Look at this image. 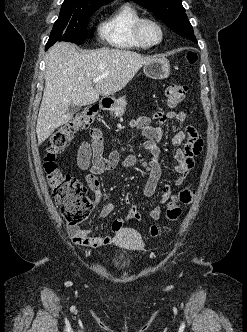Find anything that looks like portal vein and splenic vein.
Segmentation results:
<instances>
[{
    "instance_id": "obj_1",
    "label": "portal vein and splenic vein",
    "mask_w": 247,
    "mask_h": 332,
    "mask_svg": "<svg viewBox=\"0 0 247 332\" xmlns=\"http://www.w3.org/2000/svg\"><path fill=\"white\" fill-rule=\"evenodd\" d=\"M101 78H95L93 79V83H98L100 81Z\"/></svg>"
}]
</instances>
